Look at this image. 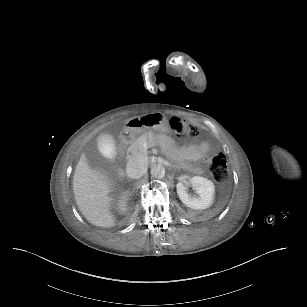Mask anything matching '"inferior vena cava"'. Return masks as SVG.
Segmentation results:
<instances>
[{"label":"inferior vena cava","mask_w":307,"mask_h":307,"mask_svg":"<svg viewBox=\"0 0 307 307\" xmlns=\"http://www.w3.org/2000/svg\"><path fill=\"white\" fill-rule=\"evenodd\" d=\"M126 172L132 179H140L147 172V167L140 158H132L128 161Z\"/></svg>","instance_id":"inferior-vena-cava-1"}]
</instances>
